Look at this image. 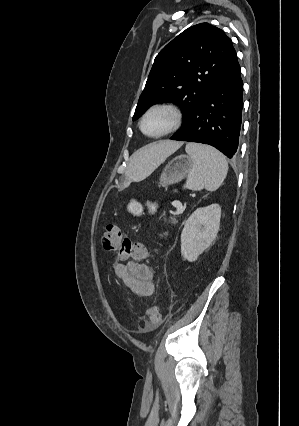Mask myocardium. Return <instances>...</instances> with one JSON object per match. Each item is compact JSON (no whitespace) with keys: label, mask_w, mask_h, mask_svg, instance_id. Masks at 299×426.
<instances>
[{"label":"myocardium","mask_w":299,"mask_h":426,"mask_svg":"<svg viewBox=\"0 0 299 426\" xmlns=\"http://www.w3.org/2000/svg\"><path fill=\"white\" fill-rule=\"evenodd\" d=\"M157 110L169 111L173 115V119H174L173 124L169 129H167L166 131H164L160 134H156V135L147 134L143 129L144 121L152 112L157 111ZM182 123H183V114H182V111L180 110V108L177 105H175L174 103H171V102H160V103H156V104L150 106L146 110V112L143 114V116L140 120L139 128H140V131L145 136H147L149 138H153V139H158V138H162V137L168 136V135L176 132L181 127Z\"/></svg>","instance_id":"obj_1"}]
</instances>
